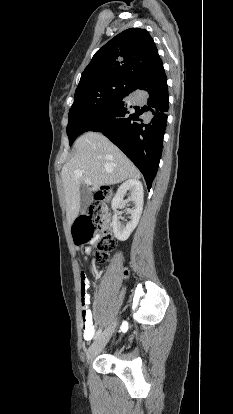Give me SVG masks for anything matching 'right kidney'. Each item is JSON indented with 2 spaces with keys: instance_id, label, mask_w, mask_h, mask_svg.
Wrapping results in <instances>:
<instances>
[{
  "instance_id": "ca27d5eb",
  "label": "right kidney",
  "mask_w": 233,
  "mask_h": 414,
  "mask_svg": "<svg viewBox=\"0 0 233 414\" xmlns=\"http://www.w3.org/2000/svg\"><path fill=\"white\" fill-rule=\"evenodd\" d=\"M127 191H130L131 196L127 200H124V195ZM143 197V186L137 179H129L118 188L116 195L112 200V209L115 212L112 219V227L114 235L118 240H127L136 228L143 210ZM130 201L134 203V208L128 210V213L131 214V220L124 224L119 220L117 209L119 206L129 203Z\"/></svg>"
}]
</instances>
